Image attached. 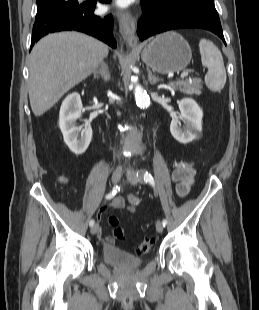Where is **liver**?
<instances>
[{"label": "liver", "instance_id": "liver-1", "mask_svg": "<svg viewBox=\"0 0 259 310\" xmlns=\"http://www.w3.org/2000/svg\"><path fill=\"white\" fill-rule=\"evenodd\" d=\"M108 46L78 32L47 35L32 49L29 99L36 117L43 115L75 85L93 73L108 55Z\"/></svg>", "mask_w": 259, "mask_h": 310}]
</instances>
